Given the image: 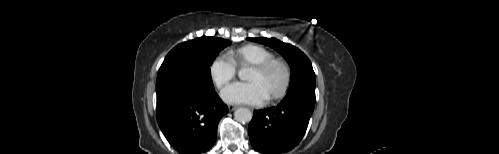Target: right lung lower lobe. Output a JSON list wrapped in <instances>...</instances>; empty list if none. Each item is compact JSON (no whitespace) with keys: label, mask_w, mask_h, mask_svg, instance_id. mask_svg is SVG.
<instances>
[{"label":"right lung lower lobe","mask_w":499,"mask_h":154,"mask_svg":"<svg viewBox=\"0 0 499 154\" xmlns=\"http://www.w3.org/2000/svg\"><path fill=\"white\" fill-rule=\"evenodd\" d=\"M228 107L214 90L176 89L157 94V121L171 146L181 154H200L216 141L219 120Z\"/></svg>","instance_id":"1"}]
</instances>
